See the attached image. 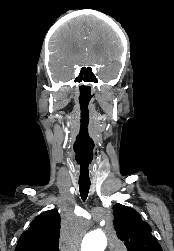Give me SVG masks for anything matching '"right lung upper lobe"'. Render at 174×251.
<instances>
[{
	"instance_id": "right-lung-upper-lobe-1",
	"label": "right lung upper lobe",
	"mask_w": 174,
	"mask_h": 251,
	"mask_svg": "<svg viewBox=\"0 0 174 251\" xmlns=\"http://www.w3.org/2000/svg\"><path fill=\"white\" fill-rule=\"evenodd\" d=\"M60 215L52 209L38 215L19 238L15 251H59Z\"/></svg>"
}]
</instances>
